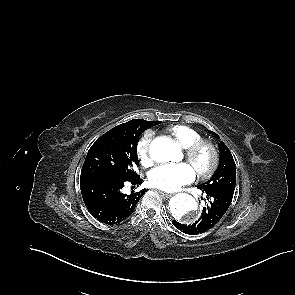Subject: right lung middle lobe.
<instances>
[{"label": "right lung middle lobe", "instance_id": "1", "mask_svg": "<svg viewBox=\"0 0 295 295\" xmlns=\"http://www.w3.org/2000/svg\"><path fill=\"white\" fill-rule=\"evenodd\" d=\"M161 122L138 119L124 126L114 127L99 137L88 151L81 178L109 176L128 179L137 176L133 167L139 163L137 142L148 128Z\"/></svg>", "mask_w": 295, "mask_h": 295}]
</instances>
